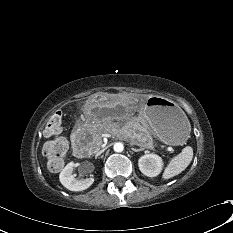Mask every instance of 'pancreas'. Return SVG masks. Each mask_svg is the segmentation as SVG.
I'll return each instance as SVG.
<instances>
[{
    "label": "pancreas",
    "instance_id": "pancreas-1",
    "mask_svg": "<svg viewBox=\"0 0 233 233\" xmlns=\"http://www.w3.org/2000/svg\"><path fill=\"white\" fill-rule=\"evenodd\" d=\"M87 129L91 134V140L89 141L88 146L91 152L96 153L103 145L102 133L106 132L108 129L113 130L114 125L107 123L89 124ZM122 138L144 149L154 148L152 134L149 130L148 124L143 119L135 118L132 121L131 129L128 130Z\"/></svg>",
    "mask_w": 233,
    "mask_h": 233
}]
</instances>
